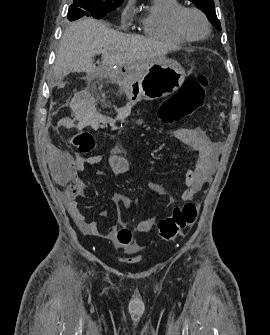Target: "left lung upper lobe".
I'll return each mask as SVG.
<instances>
[{
  "label": "left lung upper lobe",
  "instance_id": "1",
  "mask_svg": "<svg viewBox=\"0 0 270 335\" xmlns=\"http://www.w3.org/2000/svg\"><path fill=\"white\" fill-rule=\"evenodd\" d=\"M192 1L199 9H201L208 17L209 21L221 31L220 22L216 16L215 4L213 0H190Z\"/></svg>",
  "mask_w": 270,
  "mask_h": 335
}]
</instances>
